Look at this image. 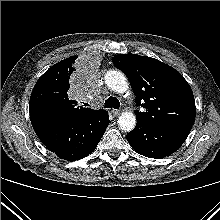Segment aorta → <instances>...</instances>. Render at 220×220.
<instances>
[{"label":"aorta","instance_id":"1","mask_svg":"<svg viewBox=\"0 0 220 220\" xmlns=\"http://www.w3.org/2000/svg\"><path fill=\"white\" fill-rule=\"evenodd\" d=\"M105 84L114 92L123 94L129 89L126 76L118 70H110L105 74ZM118 124L121 130L129 132L136 126V116L132 112H122L118 118Z\"/></svg>","mask_w":220,"mask_h":220}]
</instances>
